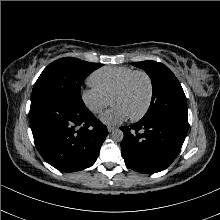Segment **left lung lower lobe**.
<instances>
[{"mask_svg":"<svg viewBox=\"0 0 220 220\" xmlns=\"http://www.w3.org/2000/svg\"><path fill=\"white\" fill-rule=\"evenodd\" d=\"M120 129L124 133L121 152L126 165L134 171L153 174L175 160L188 127L172 119L156 118Z\"/></svg>","mask_w":220,"mask_h":220,"instance_id":"1","label":"left lung lower lobe"}]
</instances>
